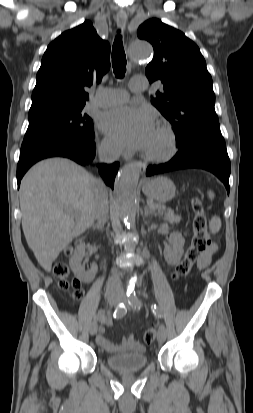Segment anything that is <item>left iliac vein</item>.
I'll use <instances>...</instances> for the list:
<instances>
[{
    "label": "left iliac vein",
    "instance_id": "obj_1",
    "mask_svg": "<svg viewBox=\"0 0 253 413\" xmlns=\"http://www.w3.org/2000/svg\"><path fill=\"white\" fill-rule=\"evenodd\" d=\"M124 301H126V297L122 295ZM157 339L160 343L164 342L166 339V328L163 324H161L158 328Z\"/></svg>",
    "mask_w": 253,
    "mask_h": 413
}]
</instances>
